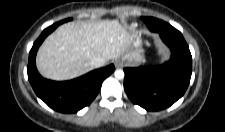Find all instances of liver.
I'll return each instance as SVG.
<instances>
[{
  "mask_svg": "<svg viewBox=\"0 0 225 132\" xmlns=\"http://www.w3.org/2000/svg\"><path fill=\"white\" fill-rule=\"evenodd\" d=\"M135 33L118 20L68 22L50 34L40 46L36 65L51 80L73 79L89 72L90 61L101 57L108 62L131 50Z\"/></svg>",
  "mask_w": 225,
  "mask_h": 132,
  "instance_id": "1",
  "label": "liver"
}]
</instances>
